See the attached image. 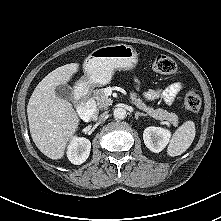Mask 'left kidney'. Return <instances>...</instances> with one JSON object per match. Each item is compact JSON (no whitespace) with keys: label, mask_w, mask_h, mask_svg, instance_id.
<instances>
[{"label":"left kidney","mask_w":221,"mask_h":221,"mask_svg":"<svg viewBox=\"0 0 221 221\" xmlns=\"http://www.w3.org/2000/svg\"><path fill=\"white\" fill-rule=\"evenodd\" d=\"M170 137L171 132L161 127H148L143 133L146 147L154 153L161 152L168 144Z\"/></svg>","instance_id":"left-kidney-1"}]
</instances>
